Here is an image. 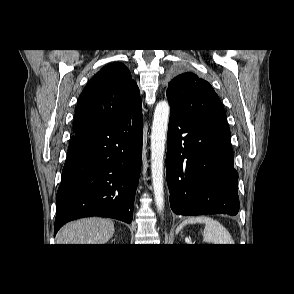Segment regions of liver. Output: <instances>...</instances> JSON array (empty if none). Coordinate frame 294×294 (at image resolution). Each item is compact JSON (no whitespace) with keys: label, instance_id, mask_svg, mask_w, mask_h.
<instances>
[{"label":"liver","instance_id":"1","mask_svg":"<svg viewBox=\"0 0 294 294\" xmlns=\"http://www.w3.org/2000/svg\"><path fill=\"white\" fill-rule=\"evenodd\" d=\"M109 219L91 217L66 224L57 234V244H105L114 234Z\"/></svg>","mask_w":294,"mask_h":294}]
</instances>
